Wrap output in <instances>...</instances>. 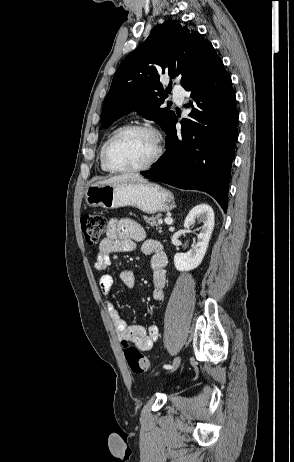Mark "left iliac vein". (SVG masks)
Masks as SVG:
<instances>
[{
	"label": "left iliac vein",
	"instance_id": "4c4485c4",
	"mask_svg": "<svg viewBox=\"0 0 294 462\" xmlns=\"http://www.w3.org/2000/svg\"><path fill=\"white\" fill-rule=\"evenodd\" d=\"M180 362H181V357H180V356H177V357L173 360L172 368L169 369V372L175 371V370L179 367Z\"/></svg>",
	"mask_w": 294,
	"mask_h": 462
}]
</instances>
